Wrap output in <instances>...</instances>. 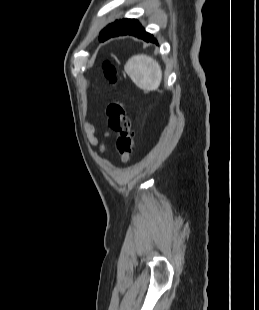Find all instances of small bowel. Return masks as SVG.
I'll use <instances>...</instances> for the list:
<instances>
[{
  "mask_svg": "<svg viewBox=\"0 0 259 310\" xmlns=\"http://www.w3.org/2000/svg\"><path fill=\"white\" fill-rule=\"evenodd\" d=\"M85 131L87 133L89 142L92 145H94V146L98 145L99 141H98L97 137L95 136V129H94V127L91 124H85ZM104 136L107 137L108 134L106 133ZM101 148H103L102 145H101Z\"/></svg>",
  "mask_w": 259,
  "mask_h": 310,
  "instance_id": "obj_1",
  "label": "small bowel"
}]
</instances>
